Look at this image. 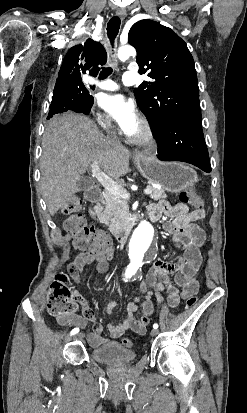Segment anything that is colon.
Returning <instances> with one entry per match:
<instances>
[{"instance_id":"colon-1","label":"colon","mask_w":247,"mask_h":413,"mask_svg":"<svg viewBox=\"0 0 247 413\" xmlns=\"http://www.w3.org/2000/svg\"><path fill=\"white\" fill-rule=\"evenodd\" d=\"M179 199L184 203H191L195 208H202L200 196L192 190L186 189L179 195ZM83 208V201L79 197L69 198L62 206L61 212L66 216L63 227L72 236L73 244L76 248H91L97 255L105 260L114 257V248L108 245L107 237L96 229L92 228L85 217L80 214ZM71 291L65 282V276L59 275L58 279L51 283L47 310L50 315L72 314V308L77 304H70ZM198 298H186V306L193 308L196 306ZM126 347L132 346V341L128 338L122 340Z\"/></svg>"}]
</instances>
